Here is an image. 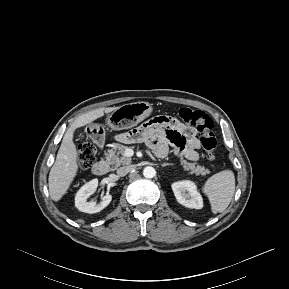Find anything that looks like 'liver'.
<instances>
[{"instance_id": "obj_1", "label": "liver", "mask_w": 289, "mask_h": 289, "mask_svg": "<svg viewBox=\"0 0 289 289\" xmlns=\"http://www.w3.org/2000/svg\"><path fill=\"white\" fill-rule=\"evenodd\" d=\"M119 107L99 108L78 116L66 131L55 163L53 164L48 178L49 194L53 201H59L67 192L78 172L77 149L73 142L74 132L94 120L109 114Z\"/></svg>"}]
</instances>
